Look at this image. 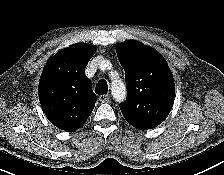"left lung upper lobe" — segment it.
<instances>
[{
	"label": "left lung upper lobe",
	"mask_w": 224,
	"mask_h": 175,
	"mask_svg": "<svg viewBox=\"0 0 224 175\" xmlns=\"http://www.w3.org/2000/svg\"><path fill=\"white\" fill-rule=\"evenodd\" d=\"M125 71L126 101L120 104L125 120L140 130L154 128L169 115L175 97L171 71L151 47L127 41L116 48Z\"/></svg>",
	"instance_id": "5c2ea615"
}]
</instances>
